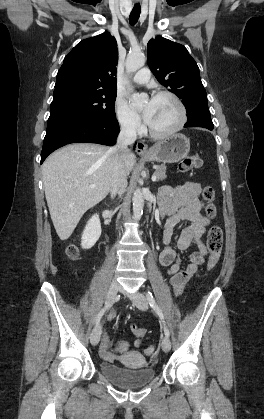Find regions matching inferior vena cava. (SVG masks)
Returning <instances> with one entry per match:
<instances>
[{
  "label": "inferior vena cava",
  "instance_id": "obj_1",
  "mask_svg": "<svg viewBox=\"0 0 264 419\" xmlns=\"http://www.w3.org/2000/svg\"><path fill=\"white\" fill-rule=\"evenodd\" d=\"M136 125L134 123H125L117 138L116 146L113 148V181L111 187V197L116 194L122 196L127 186V174L123 168V160L128 152V146L136 141Z\"/></svg>",
  "mask_w": 264,
  "mask_h": 419
}]
</instances>
